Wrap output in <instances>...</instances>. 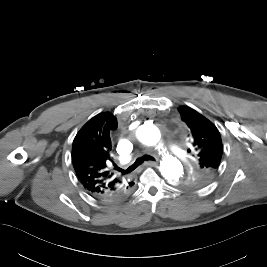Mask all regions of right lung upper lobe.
<instances>
[{"mask_svg": "<svg viewBox=\"0 0 267 267\" xmlns=\"http://www.w3.org/2000/svg\"><path fill=\"white\" fill-rule=\"evenodd\" d=\"M117 128L111 113H100L77 133L72 146V163L83 187L97 197L117 194L128 179L117 177L108 167L111 160L110 131Z\"/></svg>", "mask_w": 267, "mask_h": 267, "instance_id": "cb5924a9", "label": "right lung upper lobe"}]
</instances>
